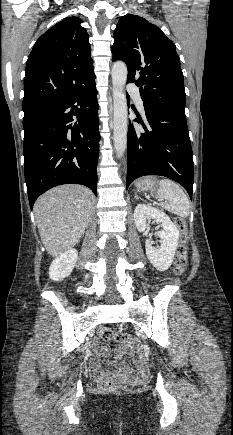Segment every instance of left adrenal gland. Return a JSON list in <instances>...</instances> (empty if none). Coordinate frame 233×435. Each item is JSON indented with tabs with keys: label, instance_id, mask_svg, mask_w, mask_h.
<instances>
[{
	"label": "left adrenal gland",
	"instance_id": "left-adrenal-gland-1",
	"mask_svg": "<svg viewBox=\"0 0 233 435\" xmlns=\"http://www.w3.org/2000/svg\"><path fill=\"white\" fill-rule=\"evenodd\" d=\"M135 198H136V199H139V197H138V195H137V193H136V192H135Z\"/></svg>",
	"mask_w": 233,
	"mask_h": 435
}]
</instances>
